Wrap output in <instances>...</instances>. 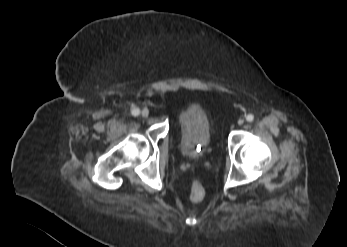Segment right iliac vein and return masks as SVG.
Here are the masks:
<instances>
[{
	"label": "right iliac vein",
	"mask_w": 347,
	"mask_h": 247,
	"mask_svg": "<svg viewBox=\"0 0 347 247\" xmlns=\"http://www.w3.org/2000/svg\"><path fill=\"white\" fill-rule=\"evenodd\" d=\"M149 115V110L148 109H143L142 111H141V116L142 117H147Z\"/></svg>",
	"instance_id": "obj_1"
}]
</instances>
